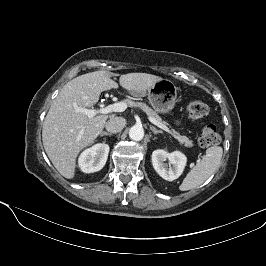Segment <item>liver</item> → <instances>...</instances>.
I'll use <instances>...</instances> for the list:
<instances>
[{"label":"liver","instance_id":"liver-1","mask_svg":"<svg viewBox=\"0 0 266 266\" xmlns=\"http://www.w3.org/2000/svg\"><path fill=\"white\" fill-rule=\"evenodd\" d=\"M109 71H95L80 75L64 85L43 123V146L58 172L67 179L75 175L76 158L81 150L94 142L102 132L108 116L97 114L89 118L78 113L75 106L92 107L101 92L117 88ZM163 78L147 73L121 75L119 84L132 92H143Z\"/></svg>","mask_w":266,"mask_h":266}]
</instances>
